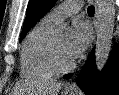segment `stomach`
Instances as JSON below:
<instances>
[{
	"label": "stomach",
	"instance_id": "stomach-1",
	"mask_svg": "<svg viewBox=\"0 0 119 95\" xmlns=\"http://www.w3.org/2000/svg\"><path fill=\"white\" fill-rule=\"evenodd\" d=\"M63 95H74V94L70 91H64Z\"/></svg>",
	"mask_w": 119,
	"mask_h": 95
}]
</instances>
